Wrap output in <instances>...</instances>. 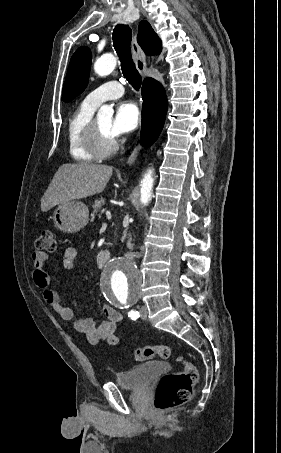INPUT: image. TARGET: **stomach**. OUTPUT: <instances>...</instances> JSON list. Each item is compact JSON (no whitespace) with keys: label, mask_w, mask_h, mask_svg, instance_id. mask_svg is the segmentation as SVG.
<instances>
[{"label":"stomach","mask_w":281,"mask_h":453,"mask_svg":"<svg viewBox=\"0 0 281 453\" xmlns=\"http://www.w3.org/2000/svg\"><path fill=\"white\" fill-rule=\"evenodd\" d=\"M54 227L62 233H78L89 220L88 206L80 200L59 204L53 212Z\"/></svg>","instance_id":"1"}]
</instances>
